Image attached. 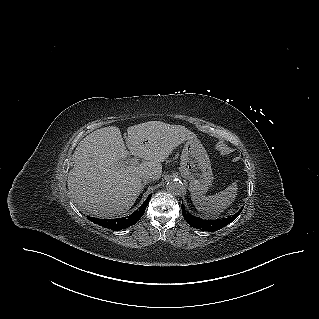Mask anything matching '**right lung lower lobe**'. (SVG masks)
I'll return each mask as SVG.
<instances>
[{"label": "right lung lower lobe", "instance_id": "98d812e1", "mask_svg": "<svg viewBox=\"0 0 319 319\" xmlns=\"http://www.w3.org/2000/svg\"><path fill=\"white\" fill-rule=\"evenodd\" d=\"M151 196L149 195L145 202L141 205L139 209L133 212L128 217L118 218V219H98L87 217L90 221L99 224L102 227L111 229V230H120L124 228H128L134 225L144 214L145 209L149 203Z\"/></svg>", "mask_w": 319, "mask_h": 319}]
</instances>
